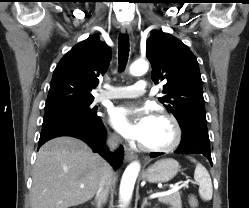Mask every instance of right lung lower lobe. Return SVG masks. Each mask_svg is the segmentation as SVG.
<instances>
[{"instance_id":"98d812e1","label":"right lung lower lobe","mask_w":249,"mask_h":208,"mask_svg":"<svg viewBox=\"0 0 249 208\" xmlns=\"http://www.w3.org/2000/svg\"><path fill=\"white\" fill-rule=\"evenodd\" d=\"M72 136L83 140L94 152L105 158L114 169L123 162V148L111 153L105 146V128L100 117L84 119L74 115L48 113L44 115L38 148L50 139Z\"/></svg>"}]
</instances>
